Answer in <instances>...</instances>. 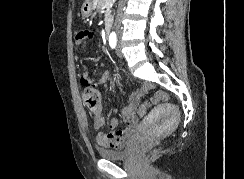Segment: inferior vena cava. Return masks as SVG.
<instances>
[{
  "label": "inferior vena cava",
  "mask_w": 244,
  "mask_h": 179,
  "mask_svg": "<svg viewBox=\"0 0 244 179\" xmlns=\"http://www.w3.org/2000/svg\"><path fill=\"white\" fill-rule=\"evenodd\" d=\"M121 16H122V10H118V12H117V18H116V22H115L116 32H118V34L120 32V26H121V20H120V18H121Z\"/></svg>",
  "instance_id": "inferior-vena-cava-1"
}]
</instances>
